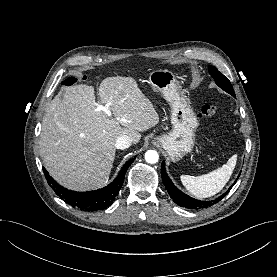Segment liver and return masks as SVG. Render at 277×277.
<instances>
[{
  "label": "liver",
  "mask_w": 277,
  "mask_h": 277,
  "mask_svg": "<svg viewBox=\"0 0 277 277\" xmlns=\"http://www.w3.org/2000/svg\"><path fill=\"white\" fill-rule=\"evenodd\" d=\"M66 86L47 105L40 134V155L50 175L75 191L100 188L109 179L116 140L136 144L139 132L159 123L152 102L130 77H107L99 88ZM110 103L111 115L97 110Z\"/></svg>",
  "instance_id": "6515ba94"
}]
</instances>
